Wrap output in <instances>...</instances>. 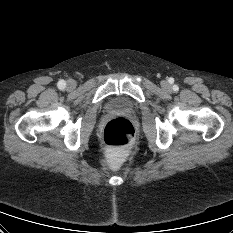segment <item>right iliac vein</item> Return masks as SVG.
I'll list each match as a JSON object with an SVG mask.
<instances>
[{
  "label": "right iliac vein",
  "instance_id": "right-iliac-vein-1",
  "mask_svg": "<svg viewBox=\"0 0 233 233\" xmlns=\"http://www.w3.org/2000/svg\"><path fill=\"white\" fill-rule=\"evenodd\" d=\"M75 86H76V83L74 80H68V82H67L68 89H73V88H75Z\"/></svg>",
  "mask_w": 233,
  "mask_h": 233
}]
</instances>
